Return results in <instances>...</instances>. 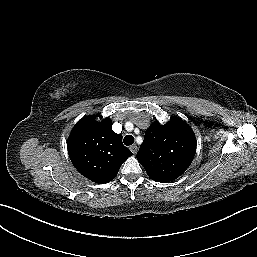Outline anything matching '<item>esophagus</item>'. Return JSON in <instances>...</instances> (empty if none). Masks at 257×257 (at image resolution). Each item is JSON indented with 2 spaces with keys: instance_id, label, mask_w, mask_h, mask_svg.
<instances>
[{
  "instance_id": "esophagus-1",
  "label": "esophagus",
  "mask_w": 257,
  "mask_h": 257,
  "mask_svg": "<svg viewBox=\"0 0 257 257\" xmlns=\"http://www.w3.org/2000/svg\"><path fill=\"white\" fill-rule=\"evenodd\" d=\"M130 150H131V152H132L133 154H136L137 151H138L137 145H132V146H130Z\"/></svg>"
}]
</instances>
